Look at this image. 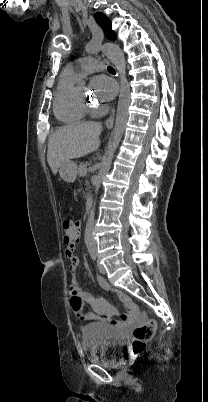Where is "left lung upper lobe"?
<instances>
[{
	"label": "left lung upper lobe",
	"instance_id": "5c2ea615",
	"mask_svg": "<svg viewBox=\"0 0 208 402\" xmlns=\"http://www.w3.org/2000/svg\"><path fill=\"white\" fill-rule=\"evenodd\" d=\"M95 20L102 27L108 39H116V34L111 30V22L103 13H96Z\"/></svg>",
	"mask_w": 208,
	"mask_h": 402
}]
</instances>
